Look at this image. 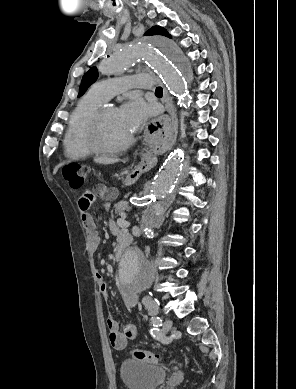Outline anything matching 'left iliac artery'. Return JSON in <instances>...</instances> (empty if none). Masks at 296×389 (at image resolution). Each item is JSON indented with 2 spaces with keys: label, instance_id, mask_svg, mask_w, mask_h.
<instances>
[{
  "label": "left iliac artery",
  "instance_id": "left-iliac-artery-1",
  "mask_svg": "<svg viewBox=\"0 0 296 389\" xmlns=\"http://www.w3.org/2000/svg\"><path fill=\"white\" fill-rule=\"evenodd\" d=\"M151 324L154 326V327H158V326H161L162 325V320L160 319V317L158 316H155V317H152L151 318ZM151 334L156 337L159 335V332H158V329L157 328H153L151 330Z\"/></svg>",
  "mask_w": 296,
  "mask_h": 389
}]
</instances>
